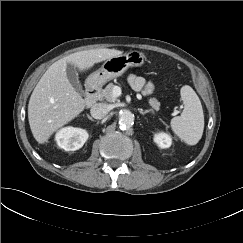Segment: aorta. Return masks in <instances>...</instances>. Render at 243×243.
<instances>
[{"label":"aorta","mask_w":243,"mask_h":243,"mask_svg":"<svg viewBox=\"0 0 243 243\" xmlns=\"http://www.w3.org/2000/svg\"><path fill=\"white\" fill-rule=\"evenodd\" d=\"M134 122V115L128 110H121L118 114V124L121 129H128Z\"/></svg>","instance_id":"obj_1"}]
</instances>
